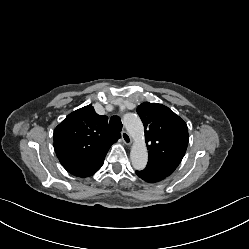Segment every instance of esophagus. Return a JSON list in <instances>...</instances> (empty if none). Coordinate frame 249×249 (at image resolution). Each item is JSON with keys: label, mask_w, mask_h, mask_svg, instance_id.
I'll list each match as a JSON object with an SVG mask.
<instances>
[{"label": "esophagus", "mask_w": 249, "mask_h": 249, "mask_svg": "<svg viewBox=\"0 0 249 249\" xmlns=\"http://www.w3.org/2000/svg\"><path fill=\"white\" fill-rule=\"evenodd\" d=\"M121 137H122L123 142H124L126 145H131V144H132V138H131V136L129 135L128 132L122 131V132H121Z\"/></svg>", "instance_id": "1"}]
</instances>
